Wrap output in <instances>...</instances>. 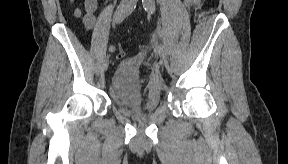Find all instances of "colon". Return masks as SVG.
Returning <instances> with one entry per match:
<instances>
[{
	"label": "colon",
	"instance_id": "1",
	"mask_svg": "<svg viewBox=\"0 0 288 164\" xmlns=\"http://www.w3.org/2000/svg\"><path fill=\"white\" fill-rule=\"evenodd\" d=\"M93 14H94V10L91 7H89V6H86L84 15L87 16V17H92ZM115 45L119 46L120 44L116 43ZM117 54H118V58L123 59L125 57V55H126V52H124V50L122 48H120L119 52Z\"/></svg>",
	"mask_w": 288,
	"mask_h": 164
}]
</instances>
